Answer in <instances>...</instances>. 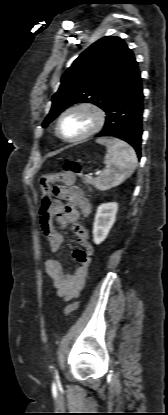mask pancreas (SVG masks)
Here are the masks:
<instances>
[{
  "label": "pancreas",
  "mask_w": 168,
  "mask_h": 415,
  "mask_svg": "<svg viewBox=\"0 0 168 415\" xmlns=\"http://www.w3.org/2000/svg\"><path fill=\"white\" fill-rule=\"evenodd\" d=\"M85 182L88 183V184H91V185H95L96 184V180L95 179H92V178H89V177H86L85 178Z\"/></svg>",
  "instance_id": "pancreas-1"
}]
</instances>
